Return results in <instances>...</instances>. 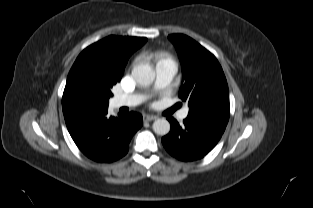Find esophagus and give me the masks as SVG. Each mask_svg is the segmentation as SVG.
I'll list each match as a JSON object with an SVG mask.
<instances>
[{
	"label": "esophagus",
	"instance_id": "esophagus-1",
	"mask_svg": "<svg viewBox=\"0 0 313 208\" xmlns=\"http://www.w3.org/2000/svg\"><path fill=\"white\" fill-rule=\"evenodd\" d=\"M157 118H158V117H157V116H154V115H144V120L147 121V122L156 120Z\"/></svg>",
	"mask_w": 313,
	"mask_h": 208
}]
</instances>
